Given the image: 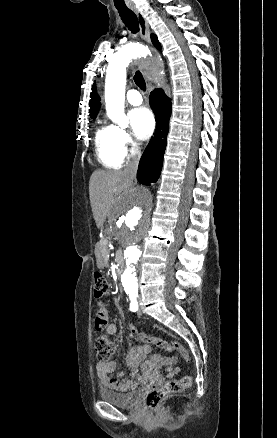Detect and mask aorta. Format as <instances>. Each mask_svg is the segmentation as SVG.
Instances as JSON below:
<instances>
[{
    "label": "aorta",
    "instance_id": "762f6f07",
    "mask_svg": "<svg viewBox=\"0 0 277 438\" xmlns=\"http://www.w3.org/2000/svg\"><path fill=\"white\" fill-rule=\"evenodd\" d=\"M147 49L139 43L123 46L111 59L105 80V103L108 117L120 127H126L124 113L126 67L133 59L145 56ZM152 75L161 73L154 70ZM151 194L145 187L126 193L115 205L111 213V231L119 248L123 251L125 270L121 281L127 294H136L138 280L136 268L141 258V246L152 223Z\"/></svg>",
    "mask_w": 277,
    "mask_h": 438
}]
</instances>
